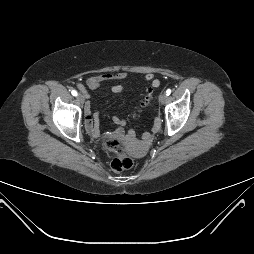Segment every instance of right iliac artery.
I'll return each instance as SVG.
<instances>
[{
    "mask_svg": "<svg viewBox=\"0 0 254 254\" xmlns=\"http://www.w3.org/2000/svg\"><path fill=\"white\" fill-rule=\"evenodd\" d=\"M71 93L73 96H77V94H78L77 91H75V90H73Z\"/></svg>",
    "mask_w": 254,
    "mask_h": 254,
    "instance_id": "82829eb1",
    "label": "right iliac artery"
}]
</instances>
